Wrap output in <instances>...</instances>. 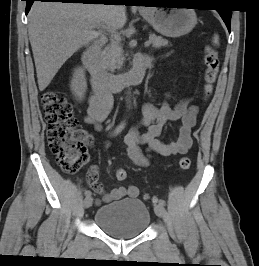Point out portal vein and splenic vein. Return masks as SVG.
Returning <instances> with one entry per match:
<instances>
[{
    "mask_svg": "<svg viewBox=\"0 0 259 266\" xmlns=\"http://www.w3.org/2000/svg\"><path fill=\"white\" fill-rule=\"evenodd\" d=\"M101 26H103V25L102 24H98L97 25V27H101ZM151 42H152V38L145 42V47H149V45L151 44Z\"/></svg>",
    "mask_w": 259,
    "mask_h": 266,
    "instance_id": "portal-vein-and-splenic-vein-1",
    "label": "portal vein and splenic vein"
}]
</instances>
